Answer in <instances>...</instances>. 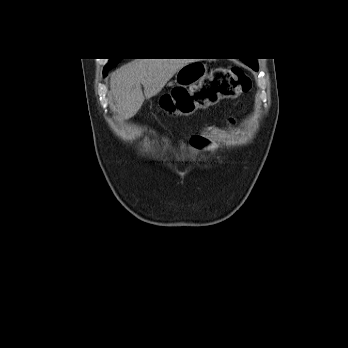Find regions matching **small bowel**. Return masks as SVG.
<instances>
[{
  "instance_id": "obj_1",
  "label": "small bowel",
  "mask_w": 348,
  "mask_h": 348,
  "mask_svg": "<svg viewBox=\"0 0 348 348\" xmlns=\"http://www.w3.org/2000/svg\"><path fill=\"white\" fill-rule=\"evenodd\" d=\"M233 124V122H231ZM207 145V141L200 136H193L190 140L189 146L180 142L179 152L182 161H186L190 152V147L192 148H204Z\"/></svg>"
}]
</instances>
